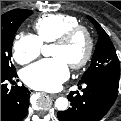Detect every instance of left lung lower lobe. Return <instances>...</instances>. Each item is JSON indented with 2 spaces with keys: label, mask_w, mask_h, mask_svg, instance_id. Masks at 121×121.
Segmentation results:
<instances>
[{
  "label": "left lung lower lobe",
  "mask_w": 121,
  "mask_h": 121,
  "mask_svg": "<svg viewBox=\"0 0 121 121\" xmlns=\"http://www.w3.org/2000/svg\"><path fill=\"white\" fill-rule=\"evenodd\" d=\"M79 89L82 84H79ZM83 95L70 92L68 99L71 107L58 112L60 121H99L114 104L119 84L105 80H93L83 83Z\"/></svg>",
  "instance_id": "left-lung-lower-lobe-1"
}]
</instances>
